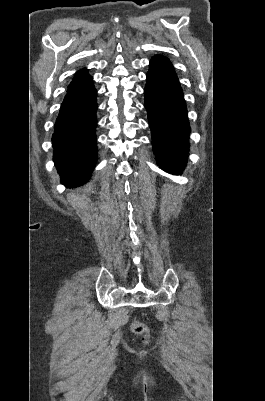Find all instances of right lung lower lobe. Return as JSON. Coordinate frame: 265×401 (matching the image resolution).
Wrapping results in <instances>:
<instances>
[{
	"label": "right lung lower lobe",
	"instance_id": "98d812e1",
	"mask_svg": "<svg viewBox=\"0 0 265 401\" xmlns=\"http://www.w3.org/2000/svg\"><path fill=\"white\" fill-rule=\"evenodd\" d=\"M96 110L92 82L67 89L52 136L54 164L66 187L85 184L95 167Z\"/></svg>",
	"mask_w": 265,
	"mask_h": 401
}]
</instances>
